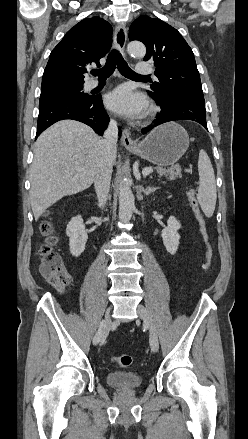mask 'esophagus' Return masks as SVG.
Returning a JSON list of instances; mask_svg holds the SVG:
<instances>
[{
	"label": "esophagus",
	"mask_w": 248,
	"mask_h": 439,
	"mask_svg": "<svg viewBox=\"0 0 248 439\" xmlns=\"http://www.w3.org/2000/svg\"><path fill=\"white\" fill-rule=\"evenodd\" d=\"M127 40V29L123 24H118L115 27L114 33V45L115 48L125 57V45ZM121 142L123 146L127 149H134L136 143L132 140L130 131L128 129H123Z\"/></svg>",
	"instance_id": "1"
}]
</instances>
